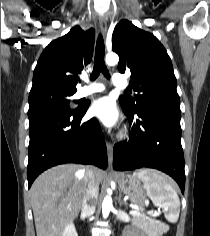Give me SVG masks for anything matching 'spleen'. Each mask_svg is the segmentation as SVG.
<instances>
[{
	"instance_id": "1",
	"label": "spleen",
	"mask_w": 210,
	"mask_h": 236,
	"mask_svg": "<svg viewBox=\"0 0 210 236\" xmlns=\"http://www.w3.org/2000/svg\"><path fill=\"white\" fill-rule=\"evenodd\" d=\"M133 175L143 181L147 195L154 205L164 210L165 218L170 223H176L180 213V200L168 178L152 169H143Z\"/></svg>"
}]
</instances>
